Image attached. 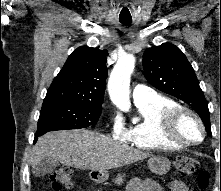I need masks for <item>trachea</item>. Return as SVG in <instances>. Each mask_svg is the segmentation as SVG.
I'll return each instance as SVG.
<instances>
[{
  "label": "trachea",
  "instance_id": "3493384b",
  "mask_svg": "<svg viewBox=\"0 0 221 191\" xmlns=\"http://www.w3.org/2000/svg\"><path fill=\"white\" fill-rule=\"evenodd\" d=\"M120 23H122L125 26H128L132 23V20H120Z\"/></svg>",
  "mask_w": 221,
  "mask_h": 191
}]
</instances>
